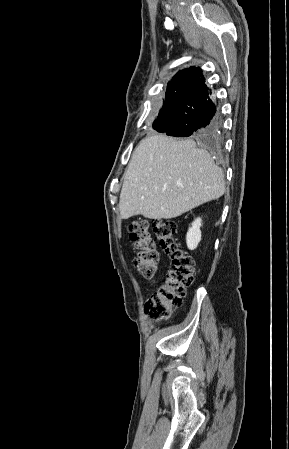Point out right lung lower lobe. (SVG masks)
<instances>
[{"label": "right lung lower lobe", "mask_w": 289, "mask_h": 449, "mask_svg": "<svg viewBox=\"0 0 289 449\" xmlns=\"http://www.w3.org/2000/svg\"><path fill=\"white\" fill-rule=\"evenodd\" d=\"M167 95L172 112L170 124L163 131L167 135L208 137L220 129V116L205 78L182 76L169 85Z\"/></svg>", "instance_id": "obj_1"}]
</instances>
